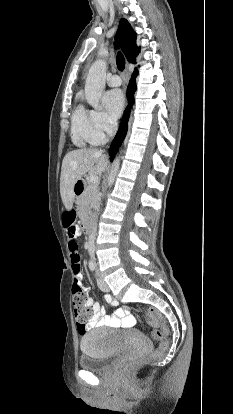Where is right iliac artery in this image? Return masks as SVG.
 I'll return each mask as SVG.
<instances>
[{
  "label": "right iliac artery",
  "instance_id": "1",
  "mask_svg": "<svg viewBox=\"0 0 233 414\" xmlns=\"http://www.w3.org/2000/svg\"><path fill=\"white\" fill-rule=\"evenodd\" d=\"M89 268L91 271L95 270V264L93 262H89Z\"/></svg>",
  "mask_w": 233,
  "mask_h": 414
}]
</instances>
